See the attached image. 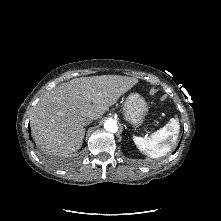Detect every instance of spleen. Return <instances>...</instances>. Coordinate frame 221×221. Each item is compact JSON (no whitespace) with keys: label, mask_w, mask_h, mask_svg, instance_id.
I'll return each mask as SVG.
<instances>
[{"label":"spleen","mask_w":221,"mask_h":221,"mask_svg":"<svg viewBox=\"0 0 221 221\" xmlns=\"http://www.w3.org/2000/svg\"><path fill=\"white\" fill-rule=\"evenodd\" d=\"M180 126L177 118H172L161 129L154 132L149 138L134 136L137 148L146 156L159 158L166 155L176 143Z\"/></svg>","instance_id":"3e777b00"}]
</instances>
